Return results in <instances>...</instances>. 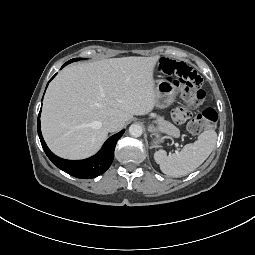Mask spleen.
I'll return each instance as SVG.
<instances>
[{
	"instance_id": "3e777b00",
	"label": "spleen",
	"mask_w": 255,
	"mask_h": 255,
	"mask_svg": "<svg viewBox=\"0 0 255 255\" xmlns=\"http://www.w3.org/2000/svg\"><path fill=\"white\" fill-rule=\"evenodd\" d=\"M217 133L210 129L198 136L197 141L184 146L180 152L167 156L166 151L158 150L154 159L161 171L172 177L185 176L199 167L215 148Z\"/></svg>"
}]
</instances>
